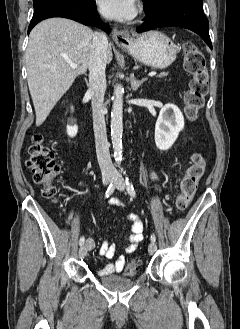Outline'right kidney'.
Wrapping results in <instances>:
<instances>
[{
  "mask_svg": "<svg viewBox=\"0 0 240 329\" xmlns=\"http://www.w3.org/2000/svg\"><path fill=\"white\" fill-rule=\"evenodd\" d=\"M73 110V108H72ZM78 132V126L76 125L75 119H70L69 124L67 125V134L69 137H75Z\"/></svg>",
  "mask_w": 240,
  "mask_h": 329,
  "instance_id": "right-kidney-1",
  "label": "right kidney"
}]
</instances>
